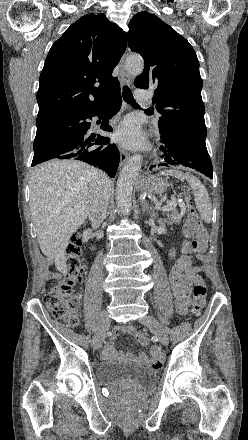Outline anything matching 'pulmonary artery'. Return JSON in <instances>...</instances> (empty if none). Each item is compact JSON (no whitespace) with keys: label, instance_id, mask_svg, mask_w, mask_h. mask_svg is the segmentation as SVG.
Listing matches in <instances>:
<instances>
[{"label":"pulmonary artery","instance_id":"e3ab8cb5","mask_svg":"<svg viewBox=\"0 0 248 440\" xmlns=\"http://www.w3.org/2000/svg\"><path fill=\"white\" fill-rule=\"evenodd\" d=\"M135 96L140 101H146L149 97L148 94L144 90H136Z\"/></svg>","mask_w":248,"mask_h":440}]
</instances>
